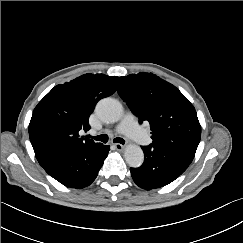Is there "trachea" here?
I'll return each instance as SVG.
<instances>
[{
    "instance_id": "obj_1",
    "label": "trachea",
    "mask_w": 243,
    "mask_h": 243,
    "mask_svg": "<svg viewBox=\"0 0 243 243\" xmlns=\"http://www.w3.org/2000/svg\"><path fill=\"white\" fill-rule=\"evenodd\" d=\"M90 138L94 139L95 141H100V142H103V143H107L108 142V135L106 134H102V135H98V136H90ZM114 143H120V144H125V140L122 139V138H115L113 140Z\"/></svg>"
}]
</instances>
